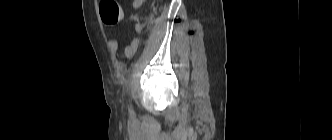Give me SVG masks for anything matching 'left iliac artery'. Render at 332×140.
I'll return each mask as SVG.
<instances>
[{
  "instance_id": "1",
  "label": "left iliac artery",
  "mask_w": 332,
  "mask_h": 140,
  "mask_svg": "<svg viewBox=\"0 0 332 140\" xmlns=\"http://www.w3.org/2000/svg\"><path fill=\"white\" fill-rule=\"evenodd\" d=\"M129 112L133 113V109L131 108V106L129 107Z\"/></svg>"
}]
</instances>
